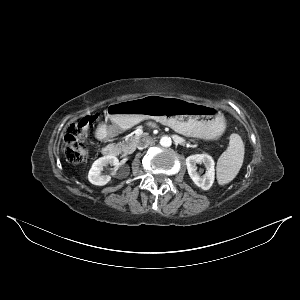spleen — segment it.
I'll list each match as a JSON object with an SVG mask.
<instances>
[{
	"label": "spleen",
	"mask_w": 300,
	"mask_h": 300,
	"mask_svg": "<svg viewBox=\"0 0 300 300\" xmlns=\"http://www.w3.org/2000/svg\"><path fill=\"white\" fill-rule=\"evenodd\" d=\"M244 160V143L238 134H231L229 146L217 161V181L219 185L231 182L238 174Z\"/></svg>",
	"instance_id": "1"
}]
</instances>
